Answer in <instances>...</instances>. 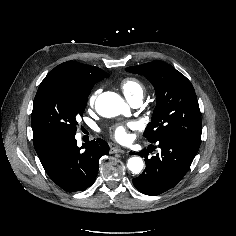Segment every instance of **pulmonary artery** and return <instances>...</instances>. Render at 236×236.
<instances>
[{"mask_svg":"<svg viewBox=\"0 0 236 236\" xmlns=\"http://www.w3.org/2000/svg\"><path fill=\"white\" fill-rule=\"evenodd\" d=\"M130 103L133 107H139L142 103V99L141 98H135L130 100Z\"/></svg>","mask_w":236,"mask_h":236,"instance_id":"pulmonary-artery-1","label":"pulmonary artery"}]
</instances>
